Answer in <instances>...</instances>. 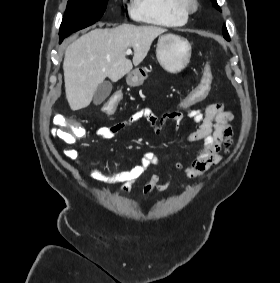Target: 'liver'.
Listing matches in <instances>:
<instances>
[{"label":"liver","mask_w":280,"mask_h":283,"mask_svg":"<svg viewBox=\"0 0 280 283\" xmlns=\"http://www.w3.org/2000/svg\"><path fill=\"white\" fill-rule=\"evenodd\" d=\"M167 29L157 26L123 24L112 29H94L71 43L65 52V92L72 110L90 105L106 77L116 82L139 65L154 39ZM133 47L132 61L126 50Z\"/></svg>","instance_id":"liver-1"}]
</instances>
